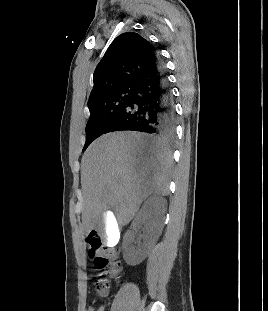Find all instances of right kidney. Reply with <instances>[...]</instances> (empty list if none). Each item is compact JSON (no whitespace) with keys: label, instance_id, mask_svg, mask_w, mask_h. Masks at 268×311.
<instances>
[{"label":"right kidney","instance_id":"1","mask_svg":"<svg viewBox=\"0 0 268 311\" xmlns=\"http://www.w3.org/2000/svg\"><path fill=\"white\" fill-rule=\"evenodd\" d=\"M167 201L163 197L152 196L146 200L132 222L123 240V257L132 266L140 264L157 242L165 220ZM141 231L143 232L142 235ZM142 237L143 242L135 246V239Z\"/></svg>","mask_w":268,"mask_h":311}]
</instances>
